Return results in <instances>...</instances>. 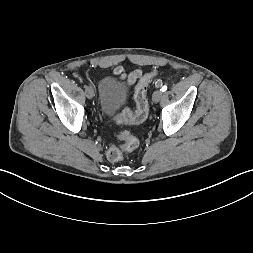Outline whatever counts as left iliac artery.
<instances>
[{
  "label": "left iliac artery",
  "instance_id": "1",
  "mask_svg": "<svg viewBox=\"0 0 253 253\" xmlns=\"http://www.w3.org/2000/svg\"><path fill=\"white\" fill-rule=\"evenodd\" d=\"M161 90H162V92H165V91L167 90V86H163V87L161 88Z\"/></svg>",
  "mask_w": 253,
  "mask_h": 253
}]
</instances>
